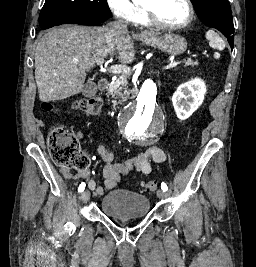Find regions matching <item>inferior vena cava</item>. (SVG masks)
I'll list each match as a JSON object with an SVG mask.
<instances>
[{"mask_svg":"<svg viewBox=\"0 0 256 267\" xmlns=\"http://www.w3.org/2000/svg\"><path fill=\"white\" fill-rule=\"evenodd\" d=\"M107 26H109V28H114V30H117V32H127V26L124 20H117V22H110V24H107Z\"/></svg>","mask_w":256,"mask_h":267,"instance_id":"inferior-vena-cava-1","label":"inferior vena cava"}]
</instances>
